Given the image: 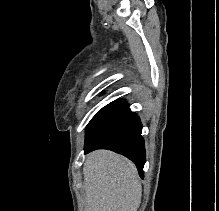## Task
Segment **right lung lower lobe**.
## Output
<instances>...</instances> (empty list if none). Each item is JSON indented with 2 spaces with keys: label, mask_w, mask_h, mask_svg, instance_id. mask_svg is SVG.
<instances>
[{
  "label": "right lung lower lobe",
  "mask_w": 219,
  "mask_h": 211,
  "mask_svg": "<svg viewBox=\"0 0 219 211\" xmlns=\"http://www.w3.org/2000/svg\"><path fill=\"white\" fill-rule=\"evenodd\" d=\"M142 124L124 100L103 107L90 121L85 137V154L97 149H109L132 160L141 178L144 177V140Z\"/></svg>",
  "instance_id": "obj_1"
}]
</instances>
